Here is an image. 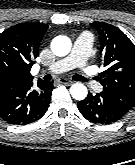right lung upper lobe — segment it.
Listing matches in <instances>:
<instances>
[{
  "label": "right lung upper lobe",
  "instance_id": "cb5924a9",
  "mask_svg": "<svg viewBox=\"0 0 135 165\" xmlns=\"http://www.w3.org/2000/svg\"><path fill=\"white\" fill-rule=\"evenodd\" d=\"M47 29L44 23H23L0 34V85L32 81L29 72Z\"/></svg>",
  "mask_w": 135,
  "mask_h": 165
}]
</instances>
